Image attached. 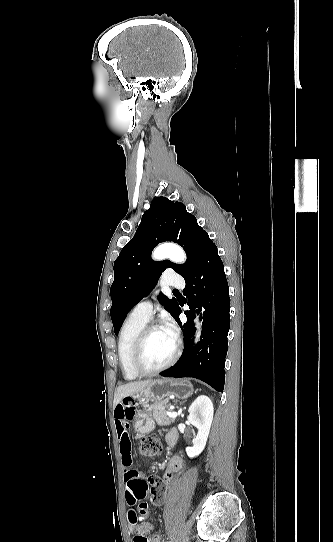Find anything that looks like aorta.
<instances>
[{
  "label": "aorta",
  "instance_id": "762f6f07",
  "mask_svg": "<svg viewBox=\"0 0 333 542\" xmlns=\"http://www.w3.org/2000/svg\"><path fill=\"white\" fill-rule=\"evenodd\" d=\"M153 258L156 260H162V258H170L173 262H184L186 256L180 246L175 244H165V246H159L153 254Z\"/></svg>",
  "mask_w": 333,
  "mask_h": 542
}]
</instances>
